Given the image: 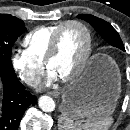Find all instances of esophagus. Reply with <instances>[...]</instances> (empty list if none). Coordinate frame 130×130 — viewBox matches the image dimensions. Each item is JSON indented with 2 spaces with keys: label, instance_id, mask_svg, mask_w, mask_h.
Returning <instances> with one entry per match:
<instances>
[{
  "label": "esophagus",
  "instance_id": "esophagus-1",
  "mask_svg": "<svg viewBox=\"0 0 130 130\" xmlns=\"http://www.w3.org/2000/svg\"><path fill=\"white\" fill-rule=\"evenodd\" d=\"M48 94L55 98L59 97V95H60V93L58 91H51Z\"/></svg>",
  "mask_w": 130,
  "mask_h": 130
}]
</instances>
